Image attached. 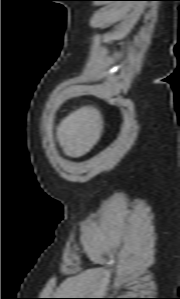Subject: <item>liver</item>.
I'll list each match as a JSON object with an SVG mask.
<instances>
[{"label":"liver","instance_id":"6515ba94","mask_svg":"<svg viewBox=\"0 0 180 299\" xmlns=\"http://www.w3.org/2000/svg\"><path fill=\"white\" fill-rule=\"evenodd\" d=\"M102 131L101 112L93 106H83L60 122L56 136L63 152L69 157L78 158L93 148Z\"/></svg>","mask_w":180,"mask_h":299}]
</instances>
